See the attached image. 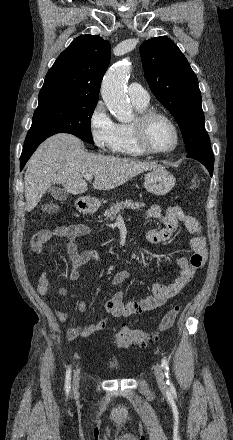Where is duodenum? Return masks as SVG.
<instances>
[{"label": "duodenum", "mask_w": 233, "mask_h": 440, "mask_svg": "<svg viewBox=\"0 0 233 440\" xmlns=\"http://www.w3.org/2000/svg\"><path fill=\"white\" fill-rule=\"evenodd\" d=\"M80 208H81L82 212L85 213V214H91L92 213V209L85 202L80 204Z\"/></svg>", "instance_id": "410a0bca"}]
</instances>
